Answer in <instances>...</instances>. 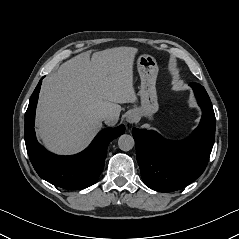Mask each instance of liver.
Segmentation results:
<instances>
[{"label": "liver", "instance_id": "liver-1", "mask_svg": "<svg viewBox=\"0 0 239 239\" xmlns=\"http://www.w3.org/2000/svg\"><path fill=\"white\" fill-rule=\"evenodd\" d=\"M137 49L117 47L81 53L63 63L42 84L36 111L37 134L58 154H74L88 146L102 128L98 116L117 123L123 103L137 101L133 65Z\"/></svg>", "mask_w": 239, "mask_h": 239}]
</instances>
